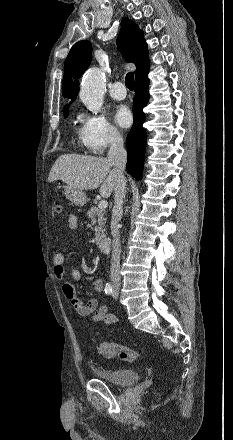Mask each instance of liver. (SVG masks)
<instances>
[{"label": "liver", "instance_id": "1", "mask_svg": "<svg viewBox=\"0 0 233 440\" xmlns=\"http://www.w3.org/2000/svg\"><path fill=\"white\" fill-rule=\"evenodd\" d=\"M108 158L64 154L54 163L48 181L61 180L79 190L99 189L100 195L109 197L115 188L117 175Z\"/></svg>", "mask_w": 233, "mask_h": 440}]
</instances>
